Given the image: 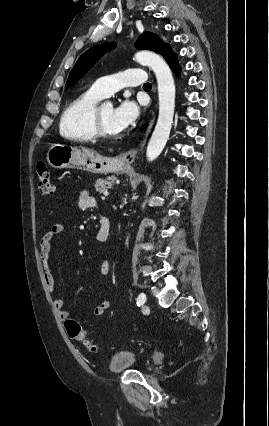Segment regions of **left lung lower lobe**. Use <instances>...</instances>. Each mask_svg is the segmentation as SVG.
Returning <instances> with one entry per match:
<instances>
[{
    "label": "left lung lower lobe",
    "instance_id": "obj_1",
    "mask_svg": "<svg viewBox=\"0 0 269 426\" xmlns=\"http://www.w3.org/2000/svg\"><path fill=\"white\" fill-rule=\"evenodd\" d=\"M160 54L165 58L172 70L180 72L181 68L177 62V55L171 50L169 45H167Z\"/></svg>",
    "mask_w": 269,
    "mask_h": 426
}]
</instances>
